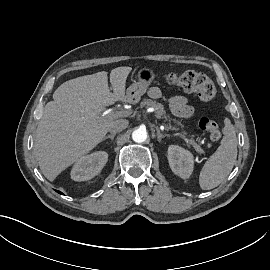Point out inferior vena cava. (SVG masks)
<instances>
[{"instance_id": "602c4592", "label": "inferior vena cava", "mask_w": 270, "mask_h": 270, "mask_svg": "<svg viewBox=\"0 0 270 270\" xmlns=\"http://www.w3.org/2000/svg\"><path fill=\"white\" fill-rule=\"evenodd\" d=\"M129 122L126 119H120L115 121L113 124H111L109 131L111 133L121 132L122 130L126 129Z\"/></svg>"}]
</instances>
